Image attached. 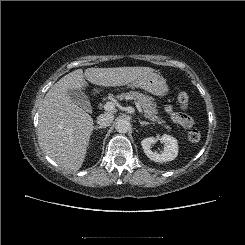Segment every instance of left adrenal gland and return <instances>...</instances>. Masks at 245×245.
Returning <instances> with one entry per match:
<instances>
[{
  "instance_id": "a2214340",
  "label": "left adrenal gland",
  "mask_w": 245,
  "mask_h": 245,
  "mask_svg": "<svg viewBox=\"0 0 245 245\" xmlns=\"http://www.w3.org/2000/svg\"><path fill=\"white\" fill-rule=\"evenodd\" d=\"M139 123H140L142 126L152 124V123H150V122L141 121V120H139Z\"/></svg>"
}]
</instances>
